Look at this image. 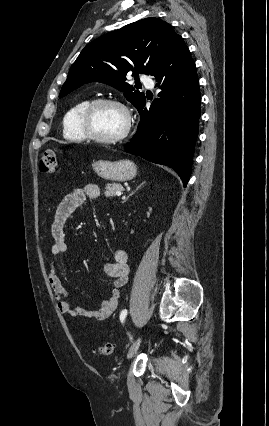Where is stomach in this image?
Returning <instances> with one entry per match:
<instances>
[{
	"label": "stomach",
	"instance_id": "1",
	"mask_svg": "<svg viewBox=\"0 0 269 426\" xmlns=\"http://www.w3.org/2000/svg\"><path fill=\"white\" fill-rule=\"evenodd\" d=\"M93 169L99 177L111 181H128L137 174L135 163L128 159L113 162L98 160L93 163Z\"/></svg>",
	"mask_w": 269,
	"mask_h": 426
}]
</instances>
